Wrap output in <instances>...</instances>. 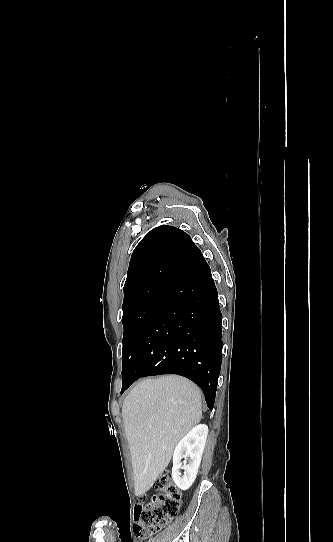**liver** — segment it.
<instances>
[{
    "instance_id": "1",
    "label": "liver",
    "mask_w": 333,
    "mask_h": 542,
    "mask_svg": "<svg viewBox=\"0 0 333 542\" xmlns=\"http://www.w3.org/2000/svg\"><path fill=\"white\" fill-rule=\"evenodd\" d=\"M122 418L135 496H144L167 468L181 438L199 424L201 392L182 376L145 378L126 396Z\"/></svg>"
}]
</instances>
